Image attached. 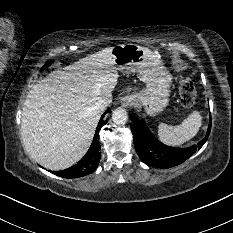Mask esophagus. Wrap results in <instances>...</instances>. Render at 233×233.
Listing matches in <instances>:
<instances>
[{
  "mask_svg": "<svg viewBox=\"0 0 233 233\" xmlns=\"http://www.w3.org/2000/svg\"><path fill=\"white\" fill-rule=\"evenodd\" d=\"M122 104L124 107H131L134 104V99L132 97H124L122 99Z\"/></svg>",
  "mask_w": 233,
  "mask_h": 233,
  "instance_id": "1",
  "label": "esophagus"
}]
</instances>
